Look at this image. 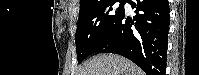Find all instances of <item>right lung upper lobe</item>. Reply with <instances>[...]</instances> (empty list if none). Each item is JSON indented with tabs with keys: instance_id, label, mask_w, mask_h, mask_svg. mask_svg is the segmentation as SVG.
I'll use <instances>...</instances> for the list:
<instances>
[{
	"instance_id": "cb5924a9",
	"label": "right lung upper lobe",
	"mask_w": 199,
	"mask_h": 75,
	"mask_svg": "<svg viewBox=\"0 0 199 75\" xmlns=\"http://www.w3.org/2000/svg\"><path fill=\"white\" fill-rule=\"evenodd\" d=\"M107 0H81L80 2V13L87 11Z\"/></svg>"
}]
</instances>
